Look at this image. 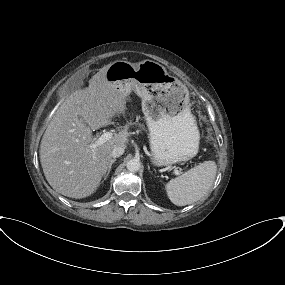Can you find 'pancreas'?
<instances>
[{"label": "pancreas", "mask_w": 285, "mask_h": 285, "mask_svg": "<svg viewBox=\"0 0 285 285\" xmlns=\"http://www.w3.org/2000/svg\"><path fill=\"white\" fill-rule=\"evenodd\" d=\"M129 124H130V126H134L135 125V123H132V122H130Z\"/></svg>", "instance_id": "cf45deb5"}]
</instances>
